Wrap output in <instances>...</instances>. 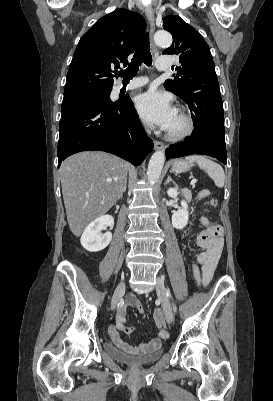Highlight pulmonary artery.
Listing matches in <instances>:
<instances>
[{
    "label": "pulmonary artery",
    "instance_id": "pulmonary-artery-1",
    "mask_svg": "<svg viewBox=\"0 0 273 401\" xmlns=\"http://www.w3.org/2000/svg\"><path fill=\"white\" fill-rule=\"evenodd\" d=\"M157 65L159 66V70L161 72H166L170 69V66L167 64V59L165 57H158L156 60ZM137 80L139 82H143L144 80H149V77H144L143 75H139L137 77ZM120 88L125 89L129 86V83L125 80L120 81L119 83ZM130 86L132 88H135L136 86H145V83H136L135 81H132L130 83ZM129 88V89H132Z\"/></svg>",
    "mask_w": 273,
    "mask_h": 401
}]
</instances>
